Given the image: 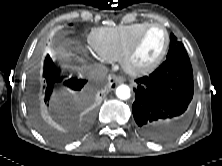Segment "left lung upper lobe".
Returning <instances> with one entry per match:
<instances>
[{
    "label": "left lung upper lobe",
    "mask_w": 222,
    "mask_h": 166,
    "mask_svg": "<svg viewBox=\"0 0 222 166\" xmlns=\"http://www.w3.org/2000/svg\"><path fill=\"white\" fill-rule=\"evenodd\" d=\"M178 57L189 59L187 51L182 42L178 41L177 38L173 34H171L167 59L178 58Z\"/></svg>",
    "instance_id": "obj_1"
}]
</instances>
